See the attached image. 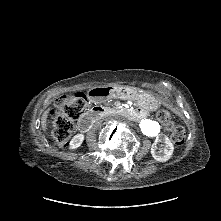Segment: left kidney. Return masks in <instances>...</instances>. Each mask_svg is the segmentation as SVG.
<instances>
[{
  "instance_id": "obj_1",
  "label": "left kidney",
  "mask_w": 221,
  "mask_h": 221,
  "mask_svg": "<svg viewBox=\"0 0 221 221\" xmlns=\"http://www.w3.org/2000/svg\"><path fill=\"white\" fill-rule=\"evenodd\" d=\"M158 142L163 143V150L157 148ZM173 151H174V146L167 136H164L156 140L151 147L152 157L160 162L168 161L171 158Z\"/></svg>"
}]
</instances>
